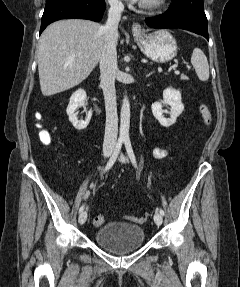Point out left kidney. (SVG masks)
Segmentation results:
<instances>
[{
    "instance_id": "1",
    "label": "left kidney",
    "mask_w": 240,
    "mask_h": 287,
    "mask_svg": "<svg viewBox=\"0 0 240 287\" xmlns=\"http://www.w3.org/2000/svg\"><path fill=\"white\" fill-rule=\"evenodd\" d=\"M162 104L169 105L170 111L162 110ZM184 105L181 101L180 91L167 88L163 91V102H155L152 104V113L163 127H170L175 122L177 117L183 112ZM163 113H169L170 117L165 118Z\"/></svg>"
}]
</instances>
